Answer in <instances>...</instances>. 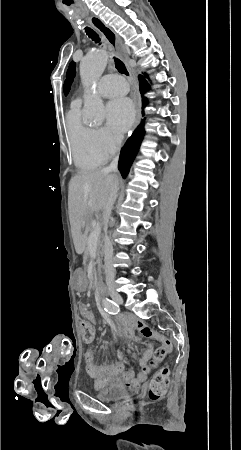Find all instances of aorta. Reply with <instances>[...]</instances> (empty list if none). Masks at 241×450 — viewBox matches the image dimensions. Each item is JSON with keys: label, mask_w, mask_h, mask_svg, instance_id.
Here are the masks:
<instances>
[{"label": "aorta", "mask_w": 241, "mask_h": 450, "mask_svg": "<svg viewBox=\"0 0 241 450\" xmlns=\"http://www.w3.org/2000/svg\"><path fill=\"white\" fill-rule=\"evenodd\" d=\"M108 61L104 50H96L88 54L80 64L81 81L88 88V94L84 102L85 118L89 123H101L105 116L102 99L92 90L102 75Z\"/></svg>", "instance_id": "1"}]
</instances>
